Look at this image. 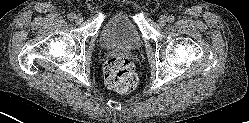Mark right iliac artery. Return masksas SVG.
I'll list each match as a JSON object with an SVG mask.
<instances>
[{
    "label": "right iliac artery",
    "mask_w": 249,
    "mask_h": 123,
    "mask_svg": "<svg viewBox=\"0 0 249 123\" xmlns=\"http://www.w3.org/2000/svg\"><path fill=\"white\" fill-rule=\"evenodd\" d=\"M75 17H76V15L74 13H69L68 14V19H70V20H74Z\"/></svg>",
    "instance_id": "obj_1"
}]
</instances>
